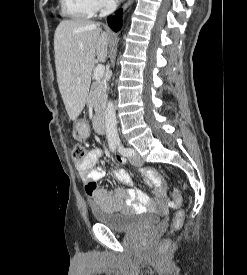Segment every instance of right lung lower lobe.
Wrapping results in <instances>:
<instances>
[{
	"instance_id": "1",
	"label": "right lung lower lobe",
	"mask_w": 247,
	"mask_h": 275,
	"mask_svg": "<svg viewBox=\"0 0 247 275\" xmlns=\"http://www.w3.org/2000/svg\"><path fill=\"white\" fill-rule=\"evenodd\" d=\"M122 9H119L115 12L114 16H110L107 18L108 25L111 27L112 30L118 31L122 26Z\"/></svg>"
}]
</instances>
